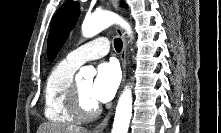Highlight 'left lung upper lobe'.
<instances>
[{"mask_svg": "<svg viewBox=\"0 0 221 133\" xmlns=\"http://www.w3.org/2000/svg\"><path fill=\"white\" fill-rule=\"evenodd\" d=\"M80 14L79 3L65 2L57 11L50 28L48 37V58L53 61L65 43Z\"/></svg>", "mask_w": 221, "mask_h": 133, "instance_id": "left-lung-upper-lobe-1", "label": "left lung upper lobe"}]
</instances>
